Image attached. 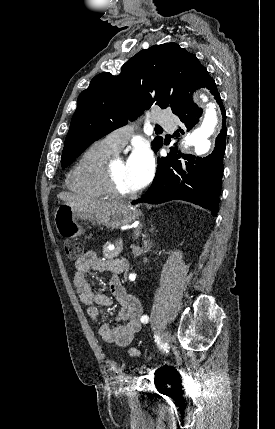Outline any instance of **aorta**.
<instances>
[{
	"instance_id": "762f6f07",
	"label": "aorta",
	"mask_w": 275,
	"mask_h": 429,
	"mask_svg": "<svg viewBox=\"0 0 275 429\" xmlns=\"http://www.w3.org/2000/svg\"><path fill=\"white\" fill-rule=\"evenodd\" d=\"M200 99L205 105L203 122L199 127L188 133L184 138L185 148L193 146L197 154H205L210 149V137L215 134L221 122L220 110L206 93L200 94Z\"/></svg>"
}]
</instances>
